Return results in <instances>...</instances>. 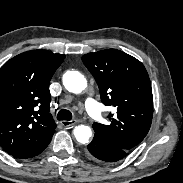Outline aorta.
Here are the masks:
<instances>
[{
  "label": "aorta",
  "instance_id": "aorta-1",
  "mask_svg": "<svg viewBox=\"0 0 183 183\" xmlns=\"http://www.w3.org/2000/svg\"><path fill=\"white\" fill-rule=\"evenodd\" d=\"M63 85L69 92L79 94L86 89L87 81L80 72L67 71L63 75ZM73 134L76 140L82 144L87 143L92 136L91 129L86 125L76 126Z\"/></svg>",
  "mask_w": 183,
  "mask_h": 183
}]
</instances>
